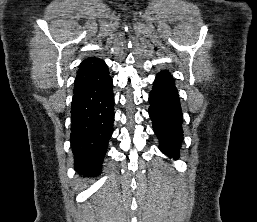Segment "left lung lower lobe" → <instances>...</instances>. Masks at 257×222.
<instances>
[{
    "label": "left lung lower lobe",
    "mask_w": 257,
    "mask_h": 222,
    "mask_svg": "<svg viewBox=\"0 0 257 222\" xmlns=\"http://www.w3.org/2000/svg\"><path fill=\"white\" fill-rule=\"evenodd\" d=\"M149 115L160 140V150L174 159L179 157L183 141L182 111L173 76L166 71L156 76L149 95Z\"/></svg>",
    "instance_id": "0a47b994"
}]
</instances>
